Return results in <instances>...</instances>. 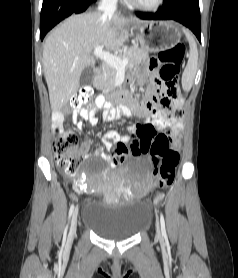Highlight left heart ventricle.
Wrapping results in <instances>:
<instances>
[{"label":"left heart ventricle","instance_id":"1","mask_svg":"<svg viewBox=\"0 0 238 278\" xmlns=\"http://www.w3.org/2000/svg\"><path fill=\"white\" fill-rule=\"evenodd\" d=\"M137 1L145 5H151L155 2V0H137Z\"/></svg>","mask_w":238,"mask_h":278}]
</instances>
